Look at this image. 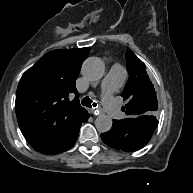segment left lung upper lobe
I'll return each mask as SVG.
<instances>
[{
  "instance_id": "left-lung-upper-lobe-1",
  "label": "left lung upper lobe",
  "mask_w": 193,
  "mask_h": 193,
  "mask_svg": "<svg viewBox=\"0 0 193 193\" xmlns=\"http://www.w3.org/2000/svg\"><path fill=\"white\" fill-rule=\"evenodd\" d=\"M126 61L129 80L121 95L128 101L125 108H122L128 117L122 121L133 118L156 119L158 109L156 92L147 75L144 63L129 48L126 53Z\"/></svg>"
}]
</instances>
